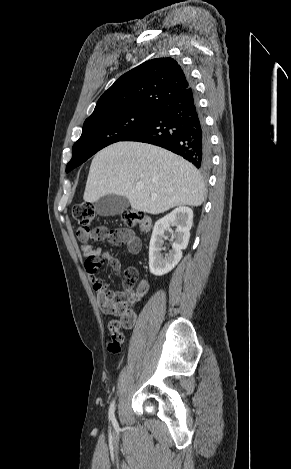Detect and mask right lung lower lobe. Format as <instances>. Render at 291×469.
<instances>
[{
  "label": "right lung lower lobe",
  "mask_w": 291,
  "mask_h": 469,
  "mask_svg": "<svg viewBox=\"0 0 291 469\" xmlns=\"http://www.w3.org/2000/svg\"><path fill=\"white\" fill-rule=\"evenodd\" d=\"M122 141L163 147L200 170L211 164L210 139L192 85L162 101L150 118Z\"/></svg>",
  "instance_id": "1"
}]
</instances>
